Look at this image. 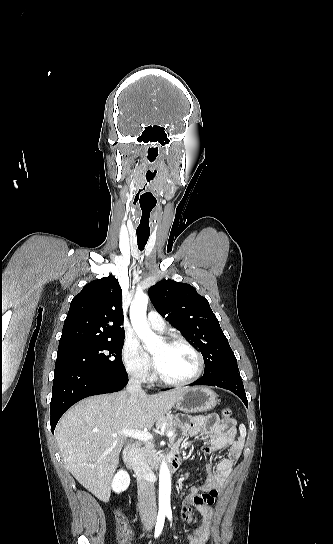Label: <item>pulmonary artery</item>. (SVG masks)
Here are the masks:
<instances>
[{
  "label": "pulmonary artery",
  "instance_id": "e3ab8cb5",
  "mask_svg": "<svg viewBox=\"0 0 333 544\" xmlns=\"http://www.w3.org/2000/svg\"><path fill=\"white\" fill-rule=\"evenodd\" d=\"M148 323L151 328L157 331L165 330V321L160 314L155 311H150L148 314Z\"/></svg>",
  "mask_w": 333,
  "mask_h": 544
}]
</instances>
